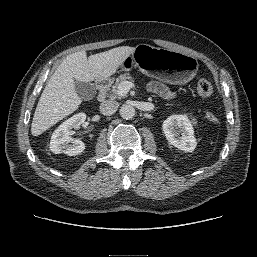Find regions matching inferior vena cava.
<instances>
[{"label": "inferior vena cava", "instance_id": "obj_1", "mask_svg": "<svg viewBox=\"0 0 257 257\" xmlns=\"http://www.w3.org/2000/svg\"><path fill=\"white\" fill-rule=\"evenodd\" d=\"M118 109V103L112 100H106L100 105V112L103 115L110 116L114 114Z\"/></svg>", "mask_w": 257, "mask_h": 257}]
</instances>
